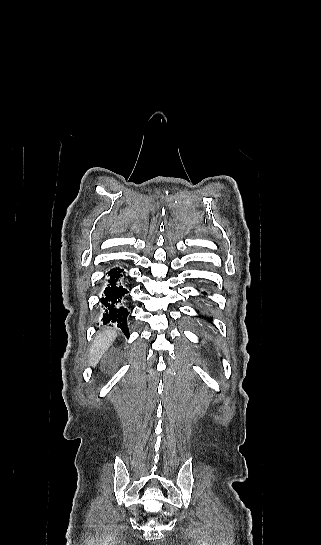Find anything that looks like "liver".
Here are the masks:
<instances>
[{
    "instance_id": "1",
    "label": "liver",
    "mask_w": 321,
    "mask_h": 545,
    "mask_svg": "<svg viewBox=\"0 0 321 545\" xmlns=\"http://www.w3.org/2000/svg\"><path fill=\"white\" fill-rule=\"evenodd\" d=\"M117 337L116 331H110V329H105L102 333L96 335L93 345L89 351L88 363L90 367H96L98 365L102 355L108 351L112 343H114Z\"/></svg>"
}]
</instances>
